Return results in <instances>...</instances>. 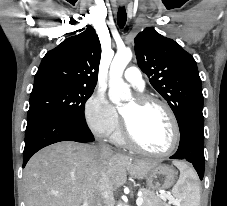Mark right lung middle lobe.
Instances as JSON below:
<instances>
[{"label":"right lung middle lobe","mask_w":227,"mask_h":206,"mask_svg":"<svg viewBox=\"0 0 227 206\" xmlns=\"http://www.w3.org/2000/svg\"><path fill=\"white\" fill-rule=\"evenodd\" d=\"M93 89L53 81L34 84L27 122L40 116L63 117L83 122L84 105Z\"/></svg>","instance_id":"right-lung-middle-lobe-1"}]
</instances>
